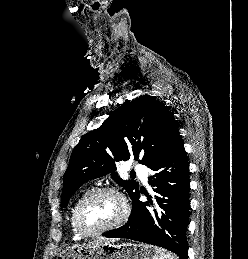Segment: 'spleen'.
Masks as SVG:
<instances>
[{
	"mask_svg": "<svg viewBox=\"0 0 248 259\" xmlns=\"http://www.w3.org/2000/svg\"><path fill=\"white\" fill-rule=\"evenodd\" d=\"M159 259H175L174 255L166 250L158 249Z\"/></svg>",
	"mask_w": 248,
	"mask_h": 259,
	"instance_id": "3e777b00",
	"label": "spleen"
}]
</instances>
